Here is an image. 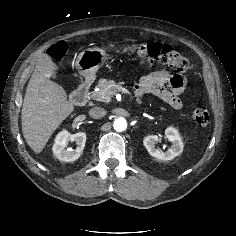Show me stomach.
<instances>
[{
    "instance_id": "obj_1",
    "label": "stomach",
    "mask_w": 236,
    "mask_h": 236,
    "mask_svg": "<svg viewBox=\"0 0 236 236\" xmlns=\"http://www.w3.org/2000/svg\"><path fill=\"white\" fill-rule=\"evenodd\" d=\"M107 53L100 48H89L82 51L76 58V68L80 75L86 78L93 77L103 66Z\"/></svg>"
}]
</instances>
